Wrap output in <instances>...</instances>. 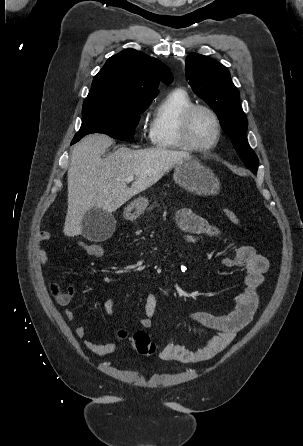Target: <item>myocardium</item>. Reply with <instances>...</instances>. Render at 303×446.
<instances>
[{
    "label": "myocardium",
    "mask_w": 303,
    "mask_h": 446,
    "mask_svg": "<svg viewBox=\"0 0 303 446\" xmlns=\"http://www.w3.org/2000/svg\"><path fill=\"white\" fill-rule=\"evenodd\" d=\"M203 110L207 112L211 118L213 119L215 128H216V136L212 144L208 146H197L195 145L190 138V121L193 114L198 111ZM222 137V126L220 123V119L216 112L207 105L203 104H192L189 106L181 115L180 123H179V138L183 146L194 152H208L217 147Z\"/></svg>",
    "instance_id": "obj_1"
}]
</instances>
